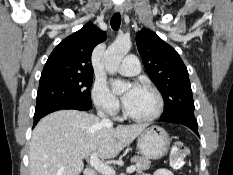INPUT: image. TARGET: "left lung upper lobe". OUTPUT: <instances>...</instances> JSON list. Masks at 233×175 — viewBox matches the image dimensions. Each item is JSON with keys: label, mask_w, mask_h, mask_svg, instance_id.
<instances>
[{"label": "left lung upper lobe", "mask_w": 233, "mask_h": 175, "mask_svg": "<svg viewBox=\"0 0 233 175\" xmlns=\"http://www.w3.org/2000/svg\"><path fill=\"white\" fill-rule=\"evenodd\" d=\"M136 43L145 69L164 99L161 118L194 116L189 75L179 54L149 29L137 33Z\"/></svg>", "instance_id": "left-lung-upper-lobe-1"}]
</instances>
